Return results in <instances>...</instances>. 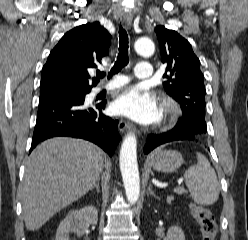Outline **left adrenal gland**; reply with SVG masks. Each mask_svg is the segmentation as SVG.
Here are the masks:
<instances>
[{
	"instance_id": "1",
	"label": "left adrenal gland",
	"mask_w": 248,
	"mask_h": 240,
	"mask_svg": "<svg viewBox=\"0 0 248 240\" xmlns=\"http://www.w3.org/2000/svg\"><path fill=\"white\" fill-rule=\"evenodd\" d=\"M146 195L147 196L152 195L153 197L158 199L157 195L151 189V183H149V186H148L147 191H146Z\"/></svg>"
}]
</instances>
